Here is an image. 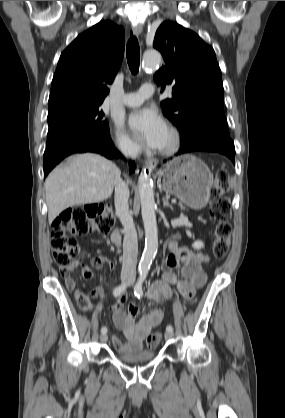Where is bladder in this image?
<instances>
[{"instance_id": "obj_1", "label": "bladder", "mask_w": 285, "mask_h": 418, "mask_svg": "<svg viewBox=\"0 0 285 418\" xmlns=\"http://www.w3.org/2000/svg\"><path fill=\"white\" fill-rule=\"evenodd\" d=\"M114 354L121 361L130 363V364H141L152 361L155 358L153 351H126L121 352L115 350Z\"/></svg>"}]
</instances>
